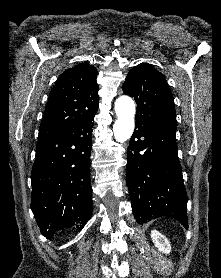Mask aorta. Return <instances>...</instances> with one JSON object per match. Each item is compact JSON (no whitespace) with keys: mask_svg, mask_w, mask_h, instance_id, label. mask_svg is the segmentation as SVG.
<instances>
[{"mask_svg":"<svg viewBox=\"0 0 221 278\" xmlns=\"http://www.w3.org/2000/svg\"><path fill=\"white\" fill-rule=\"evenodd\" d=\"M115 112L117 120L113 125L114 137L116 141L123 143L128 140L134 130L135 125V104L128 96H121L115 102Z\"/></svg>","mask_w":221,"mask_h":278,"instance_id":"aorta-1","label":"aorta"}]
</instances>
